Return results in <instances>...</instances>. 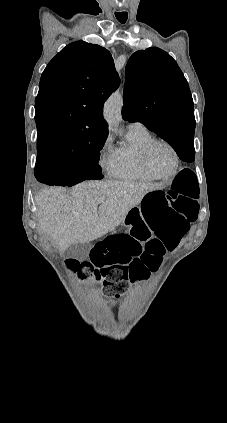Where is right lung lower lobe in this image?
Listing matches in <instances>:
<instances>
[{
	"label": "right lung lower lobe",
	"mask_w": 227,
	"mask_h": 423,
	"mask_svg": "<svg viewBox=\"0 0 227 423\" xmlns=\"http://www.w3.org/2000/svg\"><path fill=\"white\" fill-rule=\"evenodd\" d=\"M35 177L41 183L56 186H73L84 181L72 175L53 161L41 160L36 162Z\"/></svg>",
	"instance_id": "1"
}]
</instances>
